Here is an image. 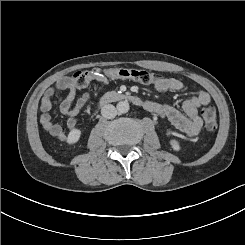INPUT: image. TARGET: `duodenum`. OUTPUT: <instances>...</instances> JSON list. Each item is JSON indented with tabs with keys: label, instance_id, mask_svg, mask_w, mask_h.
<instances>
[{
	"label": "duodenum",
	"instance_id": "1",
	"mask_svg": "<svg viewBox=\"0 0 245 245\" xmlns=\"http://www.w3.org/2000/svg\"><path fill=\"white\" fill-rule=\"evenodd\" d=\"M129 101L135 105H143V101L130 93L125 92H109L103 95L99 101L100 105H106L112 102Z\"/></svg>",
	"mask_w": 245,
	"mask_h": 245
}]
</instances>
